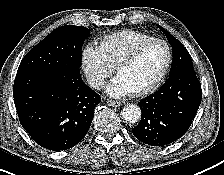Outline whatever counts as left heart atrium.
Returning <instances> with one entry per match:
<instances>
[{"label":"left heart atrium","instance_id":"1","mask_svg":"<svg viewBox=\"0 0 224 175\" xmlns=\"http://www.w3.org/2000/svg\"><path fill=\"white\" fill-rule=\"evenodd\" d=\"M106 92L113 97H125L133 93L132 89L117 75L106 85Z\"/></svg>","mask_w":224,"mask_h":175}]
</instances>
